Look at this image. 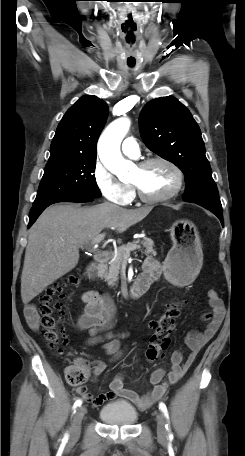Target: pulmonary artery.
Wrapping results in <instances>:
<instances>
[{
    "instance_id": "obj_1",
    "label": "pulmonary artery",
    "mask_w": 245,
    "mask_h": 456,
    "mask_svg": "<svg viewBox=\"0 0 245 456\" xmlns=\"http://www.w3.org/2000/svg\"><path fill=\"white\" fill-rule=\"evenodd\" d=\"M122 152L132 158H137L140 154L139 144L133 137L124 139L121 145Z\"/></svg>"
}]
</instances>
